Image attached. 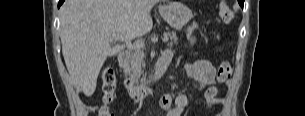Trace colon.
Here are the masks:
<instances>
[{
	"label": "colon",
	"instance_id": "colon-1",
	"mask_svg": "<svg viewBox=\"0 0 305 116\" xmlns=\"http://www.w3.org/2000/svg\"><path fill=\"white\" fill-rule=\"evenodd\" d=\"M219 15L225 23H230L234 18L232 8L226 3L221 2L219 5ZM232 75V66L228 62H223L219 65L217 71L218 81L226 82ZM102 105L100 107L98 116H114L110 109V105L115 99L116 91V73L111 67H105L102 71Z\"/></svg>",
	"mask_w": 305,
	"mask_h": 116
}]
</instances>
